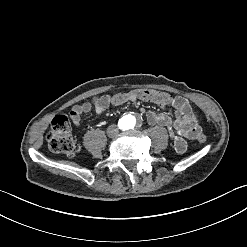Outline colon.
<instances>
[{
	"mask_svg": "<svg viewBox=\"0 0 247 247\" xmlns=\"http://www.w3.org/2000/svg\"><path fill=\"white\" fill-rule=\"evenodd\" d=\"M128 93L116 92L114 99L116 101L128 100ZM132 98L136 101H160L166 98L164 93H161L160 88H134ZM160 108L166 107L165 101L159 102ZM205 135L198 137L199 141H204ZM46 142L49 149L53 153L74 155L78 149V143L71 135V122L64 115L57 116L46 133Z\"/></svg>",
	"mask_w": 247,
	"mask_h": 247,
	"instance_id": "colon-1",
	"label": "colon"
}]
</instances>
